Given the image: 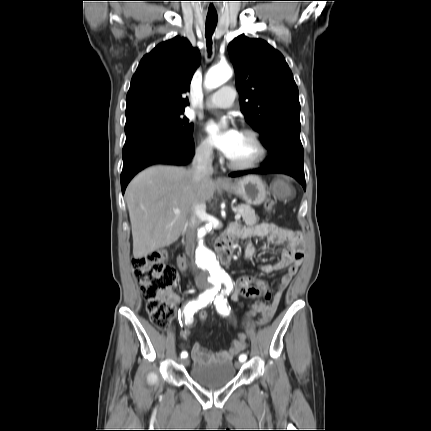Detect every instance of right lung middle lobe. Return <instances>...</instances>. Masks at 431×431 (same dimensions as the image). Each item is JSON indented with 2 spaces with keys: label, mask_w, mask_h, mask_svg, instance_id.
<instances>
[{
  "label": "right lung middle lobe",
  "mask_w": 431,
  "mask_h": 431,
  "mask_svg": "<svg viewBox=\"0 0 431 431\" xmlns=\"http://www.w3.org/2000/svg\"><path fill=\"white\" fill-rule=\"evenodd\" d=\"M182 111L153 112L126 120V137L133 134L157 129L164 130L174 135L192 137L193 124L189 123Z\"/></svg>",
  "instance_id": "obj_1"
}]
</instances>
